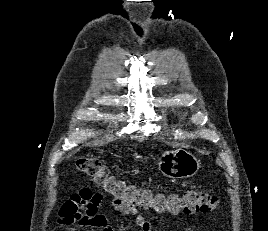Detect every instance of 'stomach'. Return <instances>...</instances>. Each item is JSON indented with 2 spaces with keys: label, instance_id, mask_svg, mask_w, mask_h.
I'll list each match as a JSON object with an SVG mask.
<instances>
[{
  "label": "stomach",
  "instance_id": "obj_1",
  "mask_svg": "<svg viewBox=\"0 0 268 231\" xmlns=\"http://www.w3.org/2000/svg\"><path fill=\"white\" fill-rule=\"evenodd\" d=\"M148 158H141L146 160ZM161 173L171 179L193 177L201 168L200 160L186 150H169L162 154L158 162Z\"/></svg>",
  "mask_w": 268,
  "mask_h": 231
}]
</instances>
